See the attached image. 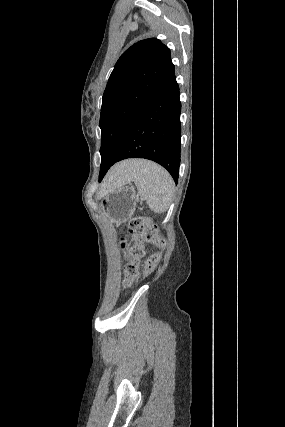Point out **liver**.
<instances>
[{"label":"liver","instance_id":"6515ba94","mask_svg":"<svg viewBox=\"0 0 285 427\" xmlns=\"http://www.w3.org/2000/svg\"><path fill=\"white\" fill-rule=\"evenodd\" d=\"M140 162L141 160H128L116 164L113 168H111L103 180L101 185V193L106 194L114 187L127 184L133 174L134 168L139 165Z\"/></svg>","mask_w":285,"mask_h":427}]
</instances>
